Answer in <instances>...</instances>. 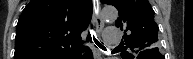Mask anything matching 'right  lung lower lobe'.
I'll use <instances>...</instances> for the list:
<instances>
[{
  "label": "right lung lower lobe",
  "mask_w": 193,
  "mask_h": 59,
  "mask_svg": "<svg viewBox=\"0 0 193 59\" xmlns=\"http://www.w3.org/2000/svg\"><path fill=\"white\" fill-rule=\"evenodd\" d=\"M84 51V49L80 50L76 55L72 56L70 59H93V55L90 49H87L83 57H80V53Z\"/></svg>",
  "instance_id": "1"
}]
</instances>
